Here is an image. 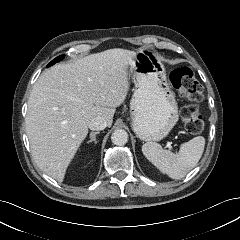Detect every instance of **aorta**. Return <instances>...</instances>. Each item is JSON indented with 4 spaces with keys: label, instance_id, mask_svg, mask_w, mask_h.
I'll list each match as a JSON object with an SVG mask.
<instances>
[{
    "label": "aorta",
    "instance_id": "aorta-1",
    "mask_svg": "<svg viewBox=\"0 0 240 240\" xmlns=\"http://www.w3.org/2000/svg\"><path fill=\"white\" fill-rule=\"evenodd\" d=\"M113 144L123 146L128 141V133L124 129H117L111 135Z\"/></svg>",
    "mask_w": 240,
    "mask_h": 240
}]
</instances>
